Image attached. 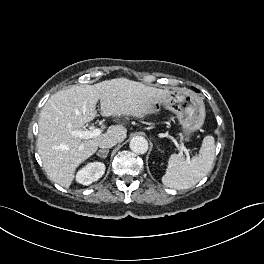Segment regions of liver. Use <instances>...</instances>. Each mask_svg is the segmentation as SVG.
<instances>
[{
	"mask_svg": "<svg viewBox=\"0 0 264 264\" xmlns=\"http://www.w3.org/2000/svg\"><path fill=\"white\" fill-rule=\"evenodd\" d=\"M170 91L117 78L95 85L72 86L52 95L39 118L37 149L47 176L68 188L74 180L76 168L92 156L102 139L112 137L122 142L127 137L123 124L108 128L98 137L82 141L71 134L96 117V104L106 116H134L147 114L149 103L164 99ZM82 146V148H80Z\"/></svg>",
	"mask_w": 264,
	"mask_h": 264,
	"instance_id": "liver-1",
	"label": "liver"
}]
</instances>
